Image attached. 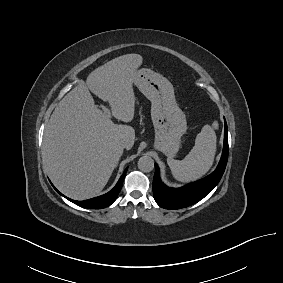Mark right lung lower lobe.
Returning <instances> with one entry per match:
<instances>
[{"label": "right lung lower lobe", "instance_id": "1", "mask_svg": "<svg viewBox=\"0 0 283 283\" xmlns=\"http://www.w3.org/2000/svg\"><path fill=\"white\" fill-rule=\"evenodd\" d=\"M127 172V169L124 171L123 175L120 177L119 181L115 185V187L109 191L108 193L101 195L99 197H95L89 200L85 201H75L72 199H69L62 195L58 190H56L58 193H60L62 196L67 198L69 201L73 202L74 204L84 207V208H90V209H102L109 205H111L117 198L122 186H123V180L125 177V174Z\"/></svg>", "mask_w": 283, "mask_h": 283}]
</instances>
